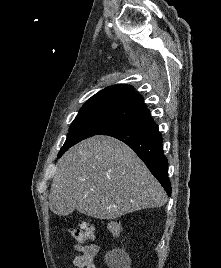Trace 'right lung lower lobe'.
<instances>
[{
	"instance_id": "98d812e1",
	"label": "right lung lower lobe",
	"mask_w": 221,
	"mask_h": 268,
	"mask_svg": "<svg viewBox=\"0 0 221 268\" xmlns=\"http://www.w3.org/2000/svg\"><path fill=\"white\" fill-rule=\"evenodd\" d=\"M100 134L115 137L131 147L158 179L168 196L171 195L168 161L162 149L163 139L150 115L125 121Z\"/></svg>"
}]
</instances>
